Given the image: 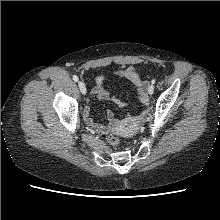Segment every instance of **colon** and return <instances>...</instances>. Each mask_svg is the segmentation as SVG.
Here are the masks:
<instances>
[{
    "label": "colon",
    "mask_w": 220,
    "mask_h": 220,
    "mask_svg": "<svg viewBox=\"0 0 220 220\" xmlns=\"http://www.w3.org/2000/svg\"><path fill=\"white\" fill-rule=\"evenodd\" d=\"M107 142L113 146V147H117L119 145V138L113 134L109 135L107 137Z\"/></svg>",
    "instance_id": "5ec220e1"
}]
</instances>
